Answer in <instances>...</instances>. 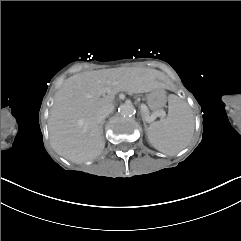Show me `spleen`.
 Returning <instances> with one entry per match:
<instances>
[{"label": "spleen", "instance_id": "spleen-1", "mask_svg": "<svg viewBox=\"0 0 241 241\" xmlns=\"http://www.w3.org/2000/svg\"><path fill=\"white\" fill-rule=\"evenodd\" d=\"M168 109L167 119L153 122L147 129V137L155 149L174 156L189 144L194 119L189 105L180 97L171 98Z\"/></svg>", "mask_w": 241, "mask_h": 241}]
</instances>
